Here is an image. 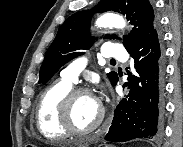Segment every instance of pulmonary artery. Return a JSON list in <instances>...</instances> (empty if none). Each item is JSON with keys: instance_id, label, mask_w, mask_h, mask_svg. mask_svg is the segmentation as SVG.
<instances>
[{"instance_id": "e3ab8cb5", "label": "pulmonary artery", "mask_w": 183, "mask_h": 147, "mask_svg": "<svg viewBox=\"0 0 183 147\" xmlns=\"http://www.w3.org/2000/svg\"><path fill=\"white\" fill-rule=\"evenodd\" d=\"M103 57L113 58V59H124L127 54L124 48L120 44L110 43L103 46ZM87 64V59L85 57H80L72 61L65 69L61 72L62 79L76 83L80 72L85 68Z\"/></svg>"}]
</instances>
